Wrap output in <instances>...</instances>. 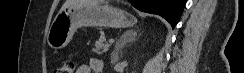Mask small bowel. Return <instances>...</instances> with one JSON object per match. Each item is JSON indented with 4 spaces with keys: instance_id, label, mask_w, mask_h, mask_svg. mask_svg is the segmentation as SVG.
Masks as SVG:
<instances>
[{
    "instance_id": "obj_1",
    "label": "small bowel",
    "mask_w": 244,
    "mask_h": 73,
    "mask_svg": "<svg viewBox=\"0 0 244 73\" xmlns=\"http://www.w3.org/2000/svg\"><path fill=\"white\" fill-rule=\"evenodd\" d=\"M104 64L100 59L92 58L87 64H82L76 73H103Z\"/></svg>"
}]
</instances>
